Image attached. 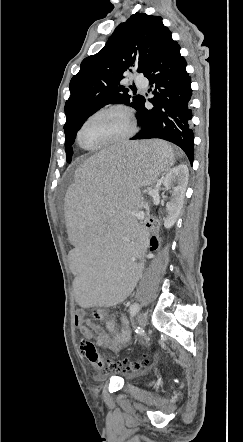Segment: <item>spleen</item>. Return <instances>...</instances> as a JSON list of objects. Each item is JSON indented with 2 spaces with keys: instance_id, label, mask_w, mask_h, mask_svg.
Returning a JSON list of instances; mask_svg holds the SVG:
<instances>
[{
  "instance_id": "1",
  "label": "spleen",
  "mask_w": 243,
  "mask_h": 442,
  "mask_svg": "<svg viewBox=\"0 0 243 442\" xmlns=\"http://www.w3.org/2000/svg\"><path fill=\"white\" fill-rule=\"evenodd\" d=\"M174 161L172 147L154 140L101 147L78 164L64 202L75 248L69 268L75 274L72 293L78 307H116L137 291L144 271L140 258L150 253L137 233L140 214L147 209L145 194L139 192L166 178Z\"/></svg>"
}]
</instances>
